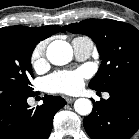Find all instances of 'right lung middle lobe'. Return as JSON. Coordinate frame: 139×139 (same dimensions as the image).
<instances>
[{
	"label": "right lung middle lobe",
	"mask_w": 139,
	"mask_h": 139,
	"mask_svg": "<svg viewBox=\"0 0 139 139\" xmlns=\"http://www.w3.org/2000/svg\"><path fill=\"white\" fill-rule=\"evenodd\" d=\"M37 43L32 38L0 33V91L34 94L31 55Z\"/></svg>",
	"instance_id": "obj_1"
}]
</instances>
